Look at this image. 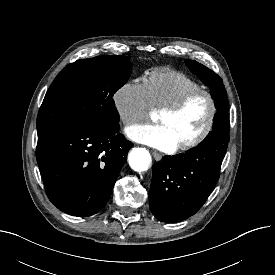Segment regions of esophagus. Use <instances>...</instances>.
<instances>
[{
	"instance_id": "34e87169",
	"label": "esophagus",
	"mask_w": 275,
	"mask_h": 275,
	"mask_svg": "<svg viewBox=\"0 0 275 275\" xmlns=\"http://www.w3.org/2000/svg\"><path fill=\"white\" fill-rule=\"evenodd\" d=\"M152 155L156 161H160L162 159V155L157 151H153Z\"/></svg>"
}]
</instances>
